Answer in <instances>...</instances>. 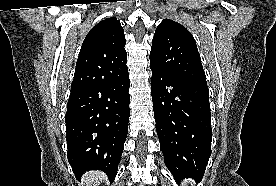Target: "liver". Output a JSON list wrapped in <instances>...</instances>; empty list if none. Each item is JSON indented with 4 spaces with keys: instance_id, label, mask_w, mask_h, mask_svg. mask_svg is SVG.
Returning <instances> with one entry per match:
<instances>
[{
    "instance_id": "obj_1",
    "label": "liver",
    "mask_w": 276,
    "mask_h": 186,
    "mask_svg": "<svg viewBox=\"0 0 276 186\" xmlns=\"http://www.w3.org/2000/svg\"><path fill=\"white\" fill-rule=\"evenodd\" d=\"M104 177L105 176L102 172H99V171L89 172L84 177V181H85L84 186H98V184L102 182Z\"/></svg>"
}]
</instances>
